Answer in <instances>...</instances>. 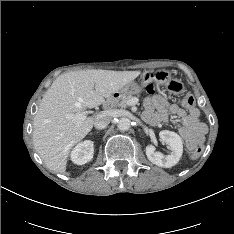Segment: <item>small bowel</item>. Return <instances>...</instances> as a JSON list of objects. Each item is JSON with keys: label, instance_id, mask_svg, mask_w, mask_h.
<instances>
[{"label": "small bowel", "instance_id": "small-bowel-1", "mask_svg": "<svg viewBox=\"0 0 234 234\" xmlns=\"http://www.w3.org/2000/svg\"><path fill=\"white\" fill-rule=\"evenodd\" d=\"M143 119L152 126H159L170 118L177 119L179 133L189 148L203 142L207 126L199 120V110L192 108L184 110L176 104L169 105L165 98L159 95L145 100Z\"/></svg>", "mask_w": 234, "mask_h": 234}]
</instances>
